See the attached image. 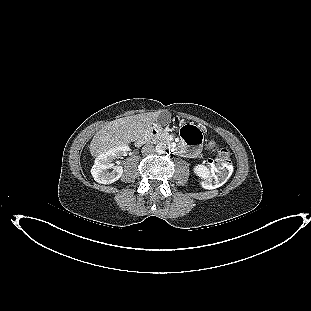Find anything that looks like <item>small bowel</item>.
<instances>
[{
  "label": "small bowel",
  "instance_id": "obj_1",
  "mask_svg": "<svg viewBox=\"0 0 311 311\" xmlns=\"http://www.w3.org/2000/svg\"><path fill=\"white\" fill-rule=\"evenodd\" d=\"M193 128L196 132H200L198 128L196 127H193ZM189 145H190V142L184 139V144L180 148L181 152L184 154H189V155H197L198 151L189 149L188 147Z\"/></svg>",
  "mask_w": 311,
  "mask_h": 311
}]
</instances>
